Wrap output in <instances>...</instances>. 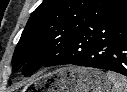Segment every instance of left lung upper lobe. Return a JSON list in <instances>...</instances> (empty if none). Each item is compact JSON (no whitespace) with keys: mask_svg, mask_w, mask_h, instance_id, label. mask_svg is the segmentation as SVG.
Instances as JSON below:
<instances>
[{"mask_svg":"<svg viewBox=\"0 0 127 92\" xmlns=\"http://www.w3.org/2000/svg\"><path fill=\"white\" fill-rule=\"evenodd\" d=\"M126 0H44L31 14L15 49L12 64L17 70L30 58L27 75L55 59L72 38L106 16Z\"/></svg>","mask_w":127,"mask_h":92,"instance_id":"5c2ea615","label":"left lung upper lobe"}]
</instances>
